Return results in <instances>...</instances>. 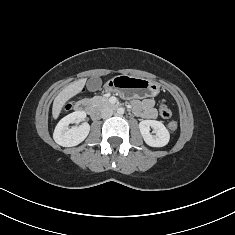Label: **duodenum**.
Masks as SVG:
<instances>
[{
  "label": "duodenum",
  "instance_id": "1",
  "mask_svg": "<svg viewBox=\"0 0 235 235\" xmlns=\"http://www.w3.org/2000/svg\"><path fill=\"white\" fill-rule=\"evenodd\" d=\"M78 112H87L91 113L93 116H96L97 113L93 110L92 103L89 99L80 100L75 107Z\"/></svg>",
  "mask_w": 235,
  "mask_h": 235
}]
</instances>
